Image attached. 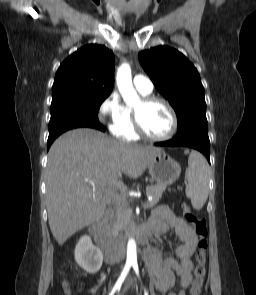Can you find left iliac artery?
I'll return each instance as SVG.
<instances>
[{
	"instance_id": "left-iliac-artery-1",
	"label": "left iliac artery",
	"mask_w": 256,
	"mask_h": 295,
	"mask_svg": "<svg viewBox=\"0 0 256 295\" xmlns=\"http://www.w3.org/2000/svg\"><path fill=\"white\" fill-rule=\"evenodd\" d=\"M132 266H133V269H134L136 275H137L138 277H140V276H139V268H138V264H137V262H133V263H132ZM144 295H148V292H147L145 289H144Z\"/></svg>"
}]
</instances>
